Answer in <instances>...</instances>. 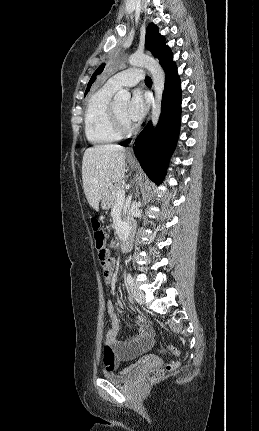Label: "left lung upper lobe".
I'll use <instances>...</instances> for the list:
<instances>
[{"label": "left lung upper lobe", "mask_w": 259, "mask_h": 431, "mask_svg": "<svg viewBox=\"0 0 259 431\" xmlns=\"http://www.w3.org/2000/svg\"><path fill=\"white\" fill-rule=\"evenodd\" d=\"M164 42H165V38L159 34L157 26L154 25L153 23L149 24L147 27V30H146L145 45H146V48L151 51V53L154 57L159 59L160 56L162 55V53L168 47L164 44ZM104 67H105V64H102L94 72V74L92 75V77L88 83L86 93L88 92L92 83L95 81L96 75L101 73L103 71Z\"/></svg>", "instance_id": "left-lung-upper-lobe-1"}]
</instances>
